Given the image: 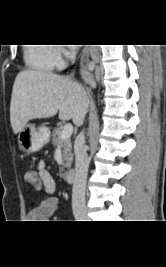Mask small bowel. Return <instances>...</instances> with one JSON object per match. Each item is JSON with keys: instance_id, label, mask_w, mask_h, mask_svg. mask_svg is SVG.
<instances>
[{"instance_id": "1", "label": "small bowel", "mask_w": 166, "mask_h": 267, "mask_svg": "<svg viewBox=\"0 0 166 267\" xmlns=\"http://www.w3.org/2000/svg\"><path fill=\"white\" fill-rule=\"evenodd\" d=\"M38 174L42 179L43 189L48 195H52L56 189V182L53 176L44 167V163L40 162L38 166ZM36 186V185H35ZM58 212V198L49 196L40 201L28 214L29 220L32 222H44L48 218L56 215Z\"/></svg>"}]
</instances>
